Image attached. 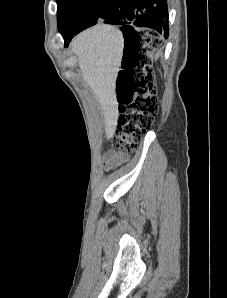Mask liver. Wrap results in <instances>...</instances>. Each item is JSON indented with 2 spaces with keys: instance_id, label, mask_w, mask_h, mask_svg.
<instances>
[{
  "instance_id": "6515ba94",
  "label": "liver",
  "mask_w": 227,
  "mask_h": 298,
  "mask_svg": "<svg viewBox=\"0 0 227 298\" xmlns=\"http://www.w3.org/2000/svg\"><path fill=\"white\" fill-rule=\"evenodd\" d=\"M123 48L121 31L107 24H98L81 32L72 42L81 75L101 106L107 139L114 135L117 124L115 89Z\"/></svg>"
}]
</instances>
